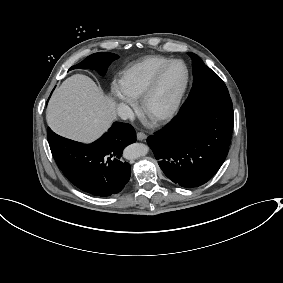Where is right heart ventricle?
Returning <instances> with one entry per match:
<instances>
[{"label": "right heart ventricle", "mask_w": 283, "mask_h": 283, "mask_svg": "<svg viewBox=\"0 0 283 283\" xmlns=\"http://www.w3.org/2000/svg\"><path fill=\"white\" fill-rule=\"evenodd\" d=\"M171 60L166 56L152 55L124 69L120 82L128 96L133 100L140 99L152 75Z\"/></svg>", "instance_id": "e07e8e85"}]
</instances>
